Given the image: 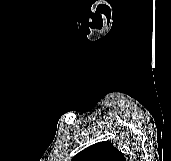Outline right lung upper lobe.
I'll list each match as a JSON object with an SVG mask.
<instances>
[{"label":"right lung upper lobe","instance_id":"right-lung-upper-lobe-1","mask_svg":"<svg viewBox=\"0 0 171 161\" xmlns=\"http://www.w3.org/2000/svg\"><path fill=\"white\" fill-rule=\"evenodd\" d=\"M71 161H126V159L111 142L104 141L82 150Z\"/></svg>","mask_w":171,"mask_h":161}]
</instances>
